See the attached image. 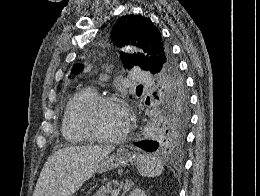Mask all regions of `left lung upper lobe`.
Here are the masks:
<instances>
[{
  "instance_id": "1",
  "label": "left lung upper lobe",
  "mask_w": 260,
  "mask_h": 196,
  "mask_svg": "<svg viewBox=\"0 0 260 196\" xmlns=\"http://www.w3.org/2000/svg\"><path fill=\"white\" fill-rule=\"evenodd\" d=\"M111 33L117 46L132 44L150 55L145 58L142 55L122 54L121 59L128 70L139 66L152 73L161 72L164 87L157 116L143 130L144 137L155 141L157 150H181L189 123V99L184 79L160 31L150 19L131 14L118 19ZM79 67L76 65L74 71L77 72Z\"/></svg>"
}]
</instances>
